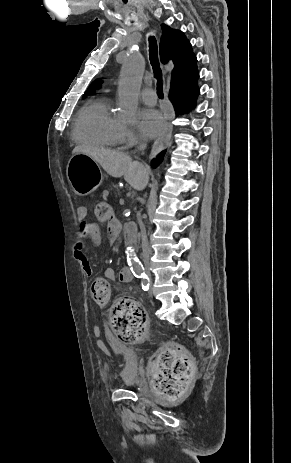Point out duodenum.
I'll return each instance as SVG.
<instances>
[{
	"instance_id": "1",
	"label": "duodenum",
	"mask_w": 291,
	"mask_h": 463,
	"mask_svg": "<svg viewBox=\"0 0 291 463\" xmlns=\"http://www.w3.org/2000/svg\"><path fill=\"white\" fill-rule=\"evenodd\" d=\"M118 227L120 228V226H118ZM123 230H124V233H125L124 245H126V246L132 245L135 242L136 235H137V230L135 228V225L132 222H127V223H125L123 225ZM117 237H118V235H117ZM129 269H125V271L130 272L131 270H129Z\"/></svg>"
}]
</instances>
